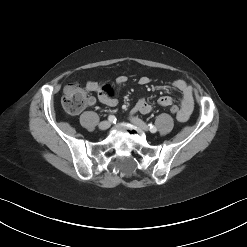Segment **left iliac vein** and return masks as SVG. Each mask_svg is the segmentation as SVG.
<instances>
[{"label": "left iliac vein", "instance_id": "left-iliac-vein-1", "mask_svg": "<svg viewBox=\"0 0 247 247\" xmlns=\"http://www.w3.org/2000/svg\"><path fill=\"white\" fill-rule=\"evenodd\" d=\"M131 123H133L134 125H136L137 127H139L140 129L147 131L148 130V126L146 123H144L142 120H140L139 118L136 117H132L130 118Z\"/></svg>", "mask_w": 247, "mask_h": 247}]
</instances>
